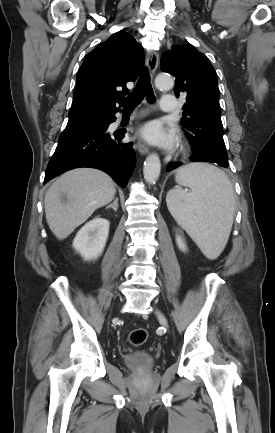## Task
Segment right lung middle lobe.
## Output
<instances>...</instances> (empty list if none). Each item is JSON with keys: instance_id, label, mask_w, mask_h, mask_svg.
Masks as SVG:
<instances>
[{"instance_id": "obj_1", "label": "right lung middle lobe", "mask_w": 275, "mask_h": 433, "mask_svg": "<svg viewBox=\"0 0 275 433\" xmlns=\"http://www.w3.org/2000/svg\"><path fill=\"white\" fill-rule=\"evenodd\" d=\"M95 117H96L95 115H88V116L69 119L66 128H70V127L78 126L81 124L93 122Z\"/></svg>"}]
</instances>
